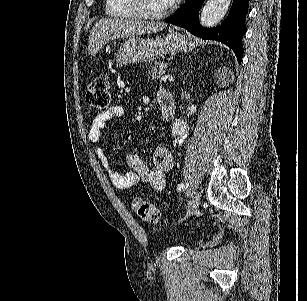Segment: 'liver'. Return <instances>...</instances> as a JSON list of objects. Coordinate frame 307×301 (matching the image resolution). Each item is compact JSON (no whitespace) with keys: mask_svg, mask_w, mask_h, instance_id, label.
<instances>
[{"mask_svg":"<svg viewBox=\"0 0 307 301\" xmlns=\"http://www.w3.org/2000/svg\"><path fill=\"white\" fill-rule=\"evenodd\" d=\"M166 22L154 20H127V18H101L95 22L88 38V52L95 56L106 42L113 38H134L166 28Z\"/></svg>","mask_w":307,"mask_h":301,"instance_id":"liver-1","label":"liver"}]
</instances>
